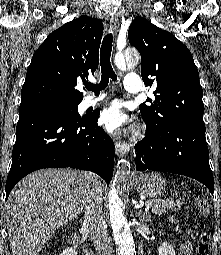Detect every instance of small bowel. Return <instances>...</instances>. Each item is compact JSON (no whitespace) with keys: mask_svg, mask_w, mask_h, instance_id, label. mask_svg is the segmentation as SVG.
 Listing matches in <instances>:
<instances>
[{"mask_svg":"<svg viewBox=\"0 0 221 255\" xmlns=\"http://www.w3.org/2000/svg\"><path fill=\"white\" fill-rule=\"evenodd\" d=\"M179 255H192V244L190 241L182 242L179 245Z\"/></svg>","mask_w":221,"mask_h":255,"instance_id":"obj_1","label":"small bowel"}]
</instances>
